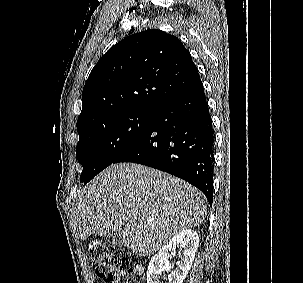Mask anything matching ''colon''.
Here are the masks:
<instances>
[{"label": "colon", "instance_id": "5ec220e1", "mask_svg": "<svg viewBox=\"0 0 303 283\" xmlns=\"http://www.w3.org/2000/svg\"><path fill=\"white\" fill-rule=\"evenodd\" d=\"M88 252L96 274L106 283H117L122 275L135 272L127 256L99 240L89 242Z\"/></svg>", "mask_w": 303, "mask_h": 283}]
</instances>
